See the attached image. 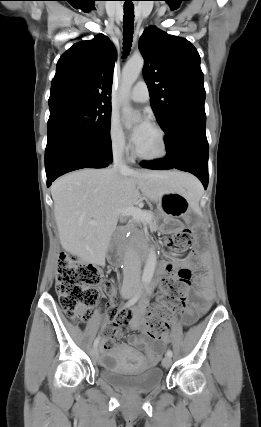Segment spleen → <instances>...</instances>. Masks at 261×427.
<instances>
[{
    "label": "spleen",
    "mask_w": 261,
    "mask_h": 427,
    "mask_svg": "<svg viewBox=\"0 0 261 427\" xmlns=\"http://www.w3.org/2000/svg\"><path fill=\"white\" fill-rule=\"evenodd\" d=\"M188 196L192 204H197L202 196V188L198 181L192 182L188 189Z\"/></svg>",
    "instance_id": "obj_1"
}]
</instances>
